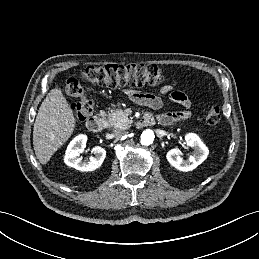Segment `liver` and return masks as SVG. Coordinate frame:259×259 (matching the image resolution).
Returning <instances> with one entry per match:
<instances>
[{
    "label": "liver",
    "instance_id": "6515ba94",
    "mask_svg": "<svg viewBox=\"0 0 259 259\" xmlns=\"http://www.w3.org/2000/svg\"><path fill=\"white\" fill-rule=\"evenodd\" d=\"M76 119L59 88L50 90L42 102L33 128V147L37 159L46 164L74 132Z\"/></svg>",
    "mask_w": 259,
    "mask_h": 259
}]
</instances>
